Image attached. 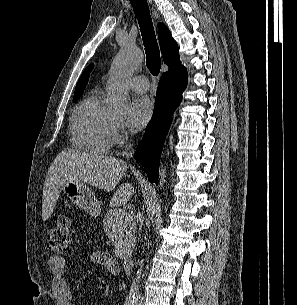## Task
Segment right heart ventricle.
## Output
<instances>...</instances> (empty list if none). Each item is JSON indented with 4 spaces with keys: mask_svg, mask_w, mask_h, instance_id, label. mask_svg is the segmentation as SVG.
<instances>
[{
    "mask_svg": "<svg viewBox=\"0 0 297 305\" xmlns=\"http://www.w3.org/2000/svg\"><path fill=\"white\" fill-rule=\"evenodd\" d=\"M71 138L75 148L92 154H107L113 144L114 124L101 107L98 92L87 96L74 110Z\"/></svg>",
    "mask_w": 297,
    "mask_h": 305,
    "instance_id": "1",
    "label": "right heart ventricle"
}]
</instances>
